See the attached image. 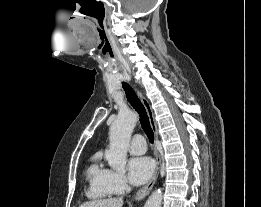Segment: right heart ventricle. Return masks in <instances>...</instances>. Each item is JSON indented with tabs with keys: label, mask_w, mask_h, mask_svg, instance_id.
<instances>
[{
	"label": "right heart ventricle",
	"mask_w": 261,
	"mask_h": 207,
	"mask_svg": "<svg viewBox=\"0 0 261 207\" xmlns=\"http://www.w3.org/2000/svg\"><path fill=\"white\" fill-rule=\"evenodd\" d=\"M110 170L101 162L99 156H94L86 170V176L89 181L87 195L92 199H104L112 193L108 186V175Z\"/></svg>",
	"instance_id": "e07e8e85"
}]
</instances>
